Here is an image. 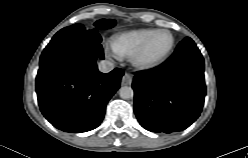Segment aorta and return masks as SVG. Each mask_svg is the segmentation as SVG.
<instances>
[{"label":"aorta","mask_w":248,"mask_h":158,"mask_svg":"<svg viewBox=\"0 0 248 158\" xmlns=\"http://www.w3.org/2000/svg\"><path fill=\"white\" fill-rule=\"evenodd\" d=\"M119 95L122 99H130L134 96V91L129 86H123L119 89Z\"/></svg>","instance_id":"aorta-1"}]
</instances>
